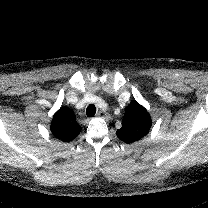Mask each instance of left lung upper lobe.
<instances>
[{"instance_id":"1","label":"left lung upper lobe","mask_w":208,"mask_h":208,"mask_svg":"<svg viewBox=\"0 0 208 208\" xmlns=\"http://www.w3.org/2000/svg\"><path fill=\"white\" fill-rule=\"evenodd\" d=\"M150 127L151 118L147 110L133 101L125 109L122 127L116 131V135L120 140L132 143L144 137Z\"/></svg>"}]
</instances>
